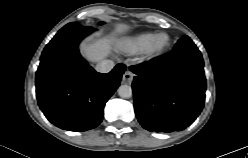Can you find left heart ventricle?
I'll use <instances>...</instances> for the list:
<instances>
[{
  "mask_svg": "<svg viewBox=\"0 0 248 158\" xmlns=\"http://www.w3.org/2000/svg\"><path fill=\"white\" fill-rule=\"evenodd\" d=\"M165 41V38H161L160 40H159V43H163Z\"/></svg>",
  "mask_w": 248,
  "mask_h": 158,
  "instance_id": "b2bd125f",
  "label": "left heart ventricle"
}]
</instances>
